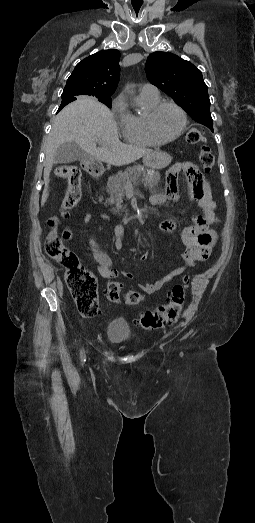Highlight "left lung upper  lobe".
Listing matches in <instances>:
<instances>
[{
	"mask_svg": "<svg viewBox=\"0 0 255 523\" xmlns=\"http://www.w3.org/2000/svg\"><path fill=\"white\" fill-rule=\"evenodd\" d=\"M148 80L171 96L190 116L213 132L210 100L202 73L190 62L165 52L149 55Z\"/></svg>",
	"mask_w": 255,
	"mask_h": 523,
	"instance_id": "left-lung-upper-lobe-1",
	"label": "left lung upper lobe"
}]
</instances>
